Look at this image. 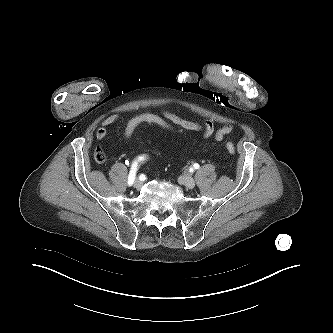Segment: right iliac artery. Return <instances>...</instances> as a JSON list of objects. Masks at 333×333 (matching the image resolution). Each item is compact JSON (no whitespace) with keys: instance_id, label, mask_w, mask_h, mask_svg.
Masks as SVG:
<instances>
[{"instance_id":"right-iliac-artery-1","label":"right iliac artery","mask_w":333,"mask_h":333,"mask_svg":"<svg viewBox=\"0 0 333 333\" xmlns=\"http://www.w3.org/2000/svg\"><path fill=\"white\" fill-rule=\"evenodd\" d=\"M145 159L144 155L138 157V161H143ZM138 168V162L134 161L132 164V168L130 170L129 176H128V185L131 186L135 180L136 171Z\"/></svg>"}]
</instances>
